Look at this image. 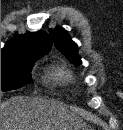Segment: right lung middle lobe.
Here are the masks:
<instances>
[{"label": "right lung middle lobe", "mask_w": 123, "mask_h": 130, "mask_svg": "<svg viewBox=\"0 0 123 130\" xmlns=\"http://www.w3.org/2000/svg\"><path fill=\"white\" fill-rule=\"evenodd\" d=\"M42 55H24L1 62V87L3 91L18 89L29 83L31 69Z\"/></svg>", "instance_id": "right-lung-middle-lobe-1"}]
</instances>
